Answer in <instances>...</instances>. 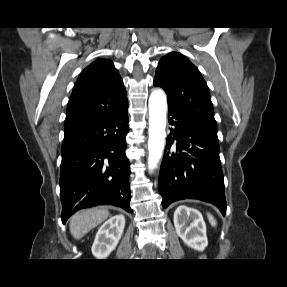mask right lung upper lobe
I'll list each match as a JSON object with an SVG mask.
<instances>
[{"instance_id":"right-lung-upper-lobe-1","label":"right lung upper lobe","mask_w":287,"mask_h":287,"mask_svg":"<svg viewBox=\"0 0 287 287\" xmlns=\"http://www.w3.org/2000/svg\"><path fill=\"white\" fill-rule=\"evenodd\" d=\"M127 102L123 81L113 63L98 59L77 79L68 102L64 126L110 114Z\"/></svg>"}]
</instances>
